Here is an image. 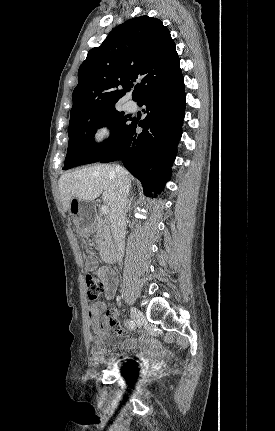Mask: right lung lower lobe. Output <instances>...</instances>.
Instances as JSON below:
<instances>
[{"label":"right lung lower lobe","mask_w":275,"mask_h":431,"mask_svg":"<svg viewBox=\"0 0 275 431\" xmlns=\"http://www.w3.org/2000/svg\"><path fill=\"white\" fill-rule=\"evenodd\" d=\"M137 104L146 105V117L142 121L132 118L123 136L99 162L122 159L125 168L142 182L146 194L158 193L170 179L182 135L186 94L181 69ZM138 126L143 128L141 133H136Z\"/></svg>","instance_id":"1"}]
</instances>
